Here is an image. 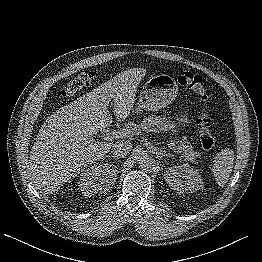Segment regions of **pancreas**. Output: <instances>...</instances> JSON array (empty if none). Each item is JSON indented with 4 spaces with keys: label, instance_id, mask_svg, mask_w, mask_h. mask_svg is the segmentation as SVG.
I'll list each match as a JSON object with an SVG mask.
<instances>
[{
    "label": "pancreas",
    "instance_id": "cf45deb5",
    "mask_svg": "<svg viewBox=\"0 0 262 262\" xmlns=\"http://www.w3.org/2000/svg\"><path fill=\"white\" fill-rule=\"evenodd\" d=\"M141 128L146 132H156V133H164L167 131H171L176 133L177 130L175 129V123H171L170 119L162 118L160 116L149 115L148 117L144 118L141 123ZM176 149L182 151L184 158L187 161L195 163V160L198 156V153L192 150V147L188 145V143L180 142Z\"/></svg>",
    "mask_w": 262,
    "mask_h": 262
}]
</instances>
